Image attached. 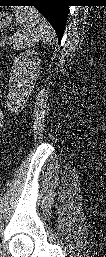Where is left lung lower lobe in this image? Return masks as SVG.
Wrapping results in <instances>:
<instances>
[{"instance_id": "0a47b994", "label": "left lung lower lobe", "mask_w": 106, "mask_h": 257, "mask_svg": "<svg viewBox=\"0 0 106 257\" xmlns=\"http://www.w3.org/2000/svg\"><path fill=\"white\" fill-rule=\"evenodd\" d=\"M1 6H34L48 20L56 31L58 42L61 41L70 0H0Z\"/></svg>"}]
</instances>
